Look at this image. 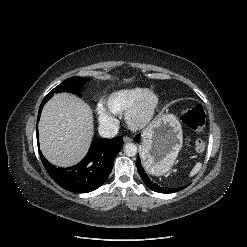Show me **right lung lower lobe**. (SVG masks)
<instances>
[{
	"label": "right lung lower lobe",
	"instance_id": "98d812e1",
	"mask_svg": "<svg viewBox=\"0 0 247 247\" xmlns=\"http://www.w3.org/2000/svg\"><path fill=\"white\" fill-rule=\"evenodd\" d=\"M51 97L47 95L43 99L38 112V121L44 104ZM122 146V137L95 139L84 159L68 168H57L51 165L41 153L40 157L48 174L59 186L75 193H88L100 187L107 179L113 168L114 159Z\"/></svg>",
	"mask_w": 247,
	"mask_h": 247
}]
</instances>
